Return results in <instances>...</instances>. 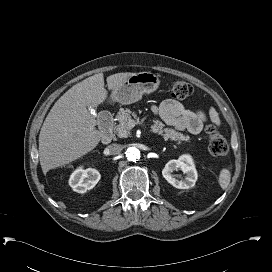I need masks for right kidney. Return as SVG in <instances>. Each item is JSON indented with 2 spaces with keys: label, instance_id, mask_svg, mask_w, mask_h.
<instances>
[{
  "label": "right kidney",
  "instance_id": "right-kidney-1",
  "mask_svg": "<svg viewBox=\"0 0 272 272\" xmlns=\"http://www.w3.org/2000/svg\"><path fill=\"white\" fill-rule=\"evenodd\" d=\"M101 175L96 169L77 168L69 178V185L77 193H85L92 189L100 180Z\"/></svg>",
  "mask_w": 272,
  "mask_h": 272
}]
</instances>
